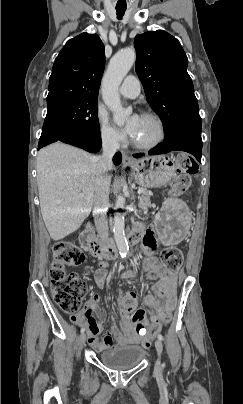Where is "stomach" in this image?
<instances>
[{
	"label": "stomach",
	"instance_id": "stomach-1",
	"mask_svg": "<svg viewBox=\"0 0 243 404\" xmlns=\"http://www.w3.org/2000/svg\"><path fill=\"white\" fill-rule=\"evenodd\" d=\"M131 168L136 183L147 188L164 186L176 175L175 163L166 155L135 160ZM190 224V211L179 199H168L155 216V225L165 245H176L182 241Z\"/></svg>",
	"mask_w": 243,
	"mask_h": 404
}]
</instances>
